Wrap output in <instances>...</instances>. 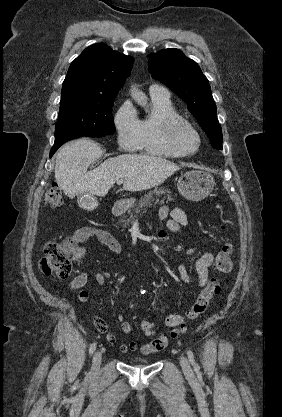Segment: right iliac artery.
<instances>
[{
  "label": "right iliac artery",
  "instance_id": "1",
  "mask_svg": "<svg viewBox=\"0 0 282 417\" xmlns=\"http://www.w3.org/2000/svg\"><path fill=\"white\" fill-rule=\"evenodd\" d=\"M95 350H96V343H92L89 348V354L92 355Z\"/></svg>",
  "mask_w": 282,
  "mask_h": 417
}]
</instances>
